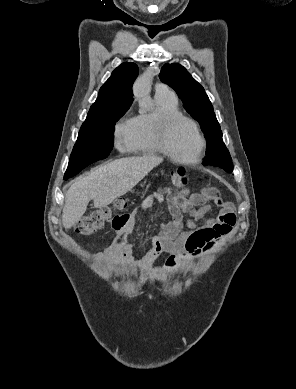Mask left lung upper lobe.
Listing matches in <instances>:
<instances>
[{
	"label": "left lung upper lobe",
	"instance_id": "obj_1",
	"mask_svg": "<svg viewBox=\"0 0 296 389\" xmlns=\"http://www.w3.org/2000/svg\"><path fill=\"white\" fill-rule=\"evenodd\" d=\"M159 77L162 82L177 92L186 111L199 122L208 144L203 165L218 166L231 173L233 170L232 159L230 155L225 156L220 152L225 144L213 106L204 88L192 78L183 66L176 63L165 64Z\"/></svg>",
	"mask_w": 296,
	"mask_h": 389
}]
</instances>
